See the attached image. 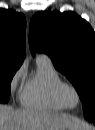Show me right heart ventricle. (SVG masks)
Listing matches in <instances>:
<instances>
[{
    "label": "right heart ventricle",
    "instance_id": "obj_1",
    "mask_svg": "<svg viewBox=\"0 0 95 130\" xmlns=\"http://www.w3.org/2000/svg\"><path fill=\"white\" fill-rule=\"evenodd\" d=\"M62 78L48 59H37L36 70L27 79L20 95L22 106L31 109L61 111L64 106L56 95Z\"/></svg>",
    "mask_w": 95,
    "mask_h": 130
}]
</instances>
